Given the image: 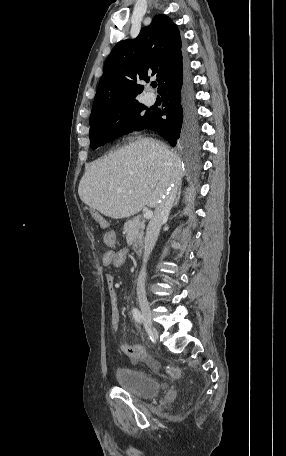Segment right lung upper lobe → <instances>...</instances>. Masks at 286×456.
<instances>
[{"label": "right lung upper lobe", "mask_w": 286, "mask_h": 456, "mask_svg": "<svg viewBox=\"0 0 286 456\" xmlns=\"http://www.w3.org/2000/svg\"><path fill=\"white\" fill-rule=\"evenodd\" d=\"M179 30L166 15H157L133 40L119 42L107 57L89 122L116 107L139 103L143 86L137 81L155 76L160 93L183 76Z\"/></svg>", "instance_id": "cb5924a9"}]
</instances>
